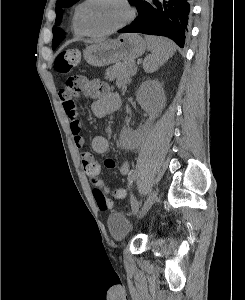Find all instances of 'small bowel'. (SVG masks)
Here are the masks:
<instances>
[{"label": "small bowel", "mask_w": 245, "mask_h": 300, "mask_svg": "<svg viewBox=\"0 0 245 300\" xmlns=\"http://www.w3.org/2000/svg\"><path fill=\"white\" fill-rule=\"evenodd\" d=\"M82 92L86 98L92 99L91 111L97 118H103L110 112L116 110L120 105L119 97L114 94L109 85L99 78H80ZM79 93V92H78ZM69 93L65 87L60 91L59 96L62 101L63 109L70 124V130L73 136L74 143L80 152L83 168L86 174L90 177H96L101 172V164L94 156L95 154H104L109 149V140L104 136H95L91 140L92 152L86 149V141L82 125L78 119V111L73 95ZM104 166L108 169L117 168L122 176L129 175L130 166L128 162H122L117 165L112 158H107L104 161ZM97 190L102 188L100 183L95 185Z\"/></svg>", "instance_id": "obj_1"}]
</instances>
